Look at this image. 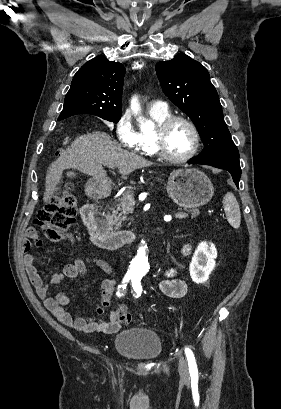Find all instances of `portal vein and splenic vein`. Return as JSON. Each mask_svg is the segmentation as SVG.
<instances>
[{"label":"portal vein and splenic vein","mask_w":281,"mask_h":409,"mask_svg":"<svg viewBox=\"0 0 281 409\" xmlns=\"http://www.w3.org/2000/svg\"><path fill=\"white\" fill-rule=\"evenodd\" d=\"M108 166V164H107ZM135 202V197L134 196H127L126 201H125V206L126 207H132ZM190 213L189 212H179L176 213V219H185V217H189Z\"/></svg>","instance_id":"1"}]
</instances>
